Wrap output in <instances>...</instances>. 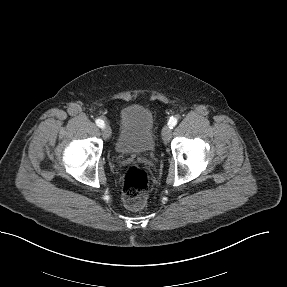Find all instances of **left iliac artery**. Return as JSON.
I'll return each instance as SVG.
<instances>
[{
  "instance_id": "1",
  "label": "left iliac artery",
  "mask_w": 287,
  "mask_h": 287,
  "mask_svg": "<svg viewBox=\"0 0 287 287\" xmlns=\"http://www.w3.org/2000/svg\"><path fill=\"white\" fill-rule=\"evenodd\" d=\"M177 124V119L175 117H171L168 121L169 127L172 129Z\"/></svg>"
}]
</instances>
